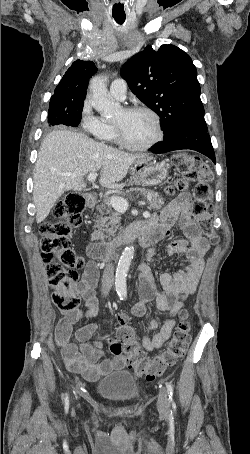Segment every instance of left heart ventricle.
<instances>
[{"label": "left heart ventricle", "instance_id": "1", "mask_svg": "<svg viewBox=\"0 0 250 454\" xmlns=\"http://www.w3.org/2000/svg\"><path fill=\"white\" fill-rule=\"evenodd\" d=\"M114 123L118 124L126 139L134 145L148 143L156 134L153 118L145 112H125L121 110Z\"/></svg>", "mask_w": 250, "mask_h": 454}]
</instances>
